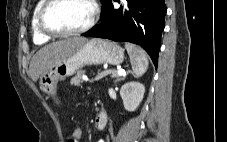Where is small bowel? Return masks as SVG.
Masks as SVG:
<instances>
[{"mask_svg":"<svg viewBox=\"0 0 227 142\" xmlns=\"http://www.w3.org/2000/svg\"><path fill=\"white\" fill-rule=\"evenodd\" d=\"M68 142H71L70 138L68 139ZM98 142H105V141L104 140H99Z\"/></svg>","mask_w":227,"mask_h":142,"instance_id":"1","label":"small bowel"}]
</instances>
